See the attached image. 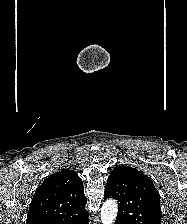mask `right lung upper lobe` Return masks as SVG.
Masks as SVG:
<instances>
[{"label":"right lung upper lobe","mask_w":187,"mask_h":224,"mask_svg":"<svg viewBox=\"0 0 187 224\" xmlns=\"http://www.w3.org/2000/svg\"><path fill=\"white\" fill-rule=\"evenodd\" d=\"M82 179L73 170L50 175L35 191L26 224H74L87 218Z\"/></svg>","instance_id":"1"}]
</instances>
